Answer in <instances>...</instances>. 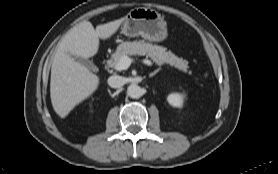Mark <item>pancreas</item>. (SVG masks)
<instances>
[{"instance_id": "pancreas-1", "label": "pancreas", "mask_w": 278, "mask_h": 174, "mask_svg": "<svg viewBox=\"0 0 278 174\" xmlns=\"http://www.w3.org/2000/svg\"><path fill=\"white\" fill-rule=\"evenodd\" d=\"M132 55H146L159 66L166 63L183 72H187L188 70V61L177 57L172 52L167 51L164 47L153 45L144 40L121 43L117 47L116 52L112 55V58L108 61V65L115 68V65L121 57Z\"/></svg>"}]
</instances>
